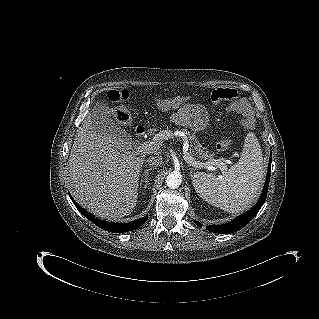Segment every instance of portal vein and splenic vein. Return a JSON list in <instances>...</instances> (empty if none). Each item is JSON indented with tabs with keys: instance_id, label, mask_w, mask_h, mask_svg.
<instances>
[{
	"instance_id": "portal-vein-and-splenic-vein-1",
	"label": "portal vein and splenic vein",
	"mask_w": 319,
	"mask_h": 319,
	"mask_svg": "<svg viewBox=\"0 0 319 319\" xmlns=\"http://www.w3.org/2000/svg\"><path fill=\"white\" fill-rule=\"evenodd\" d=\"M177 135L178 133H175V132L173 133L170 130L161 131L156 135L153 141H146L140 144L136 149V153L153 152L154 150L159 148L158 138L168 139V138H173L174 136H177ZM183 158L190 166L195 168H205L208 170H215L217 168H219L220 170H225L226 168V165L223 159H214L212 161L205 162V163L195 160L188 152L187 143L184 145V148H183Z\"/></svg>"
}]
</instances>
